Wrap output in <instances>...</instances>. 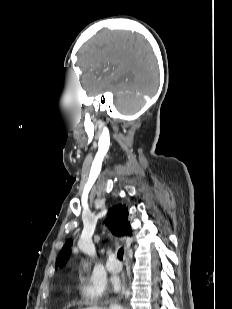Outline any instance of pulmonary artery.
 I'll use <instances>...</instances> for the list:
<instances>
[{
    "instance_id": "pulmonary-artery-1",
    "label": "pulmonary artery",
    "mask_w": 232,
    "mask_h": 309,
    "mask_svg": "<svg viewBox=\"0 0 232 309\" xmlns=\"http://www.w3.org/2000/svg\"><path fill=\"white\" fill-rule=\"evenodd\" d=\"M106 269L111 273H118L121 271V264L111 255L105 262Z\"/></svg>"
}]
</instances>
